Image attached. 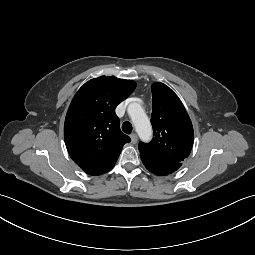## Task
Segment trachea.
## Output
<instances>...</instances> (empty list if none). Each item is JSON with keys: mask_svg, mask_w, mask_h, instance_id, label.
I'll use <instances>...</instances> for the list:
<instances>
[{"mask_svg": "<svg viewBox=\"0 0 255 255\" xmlns=\"http://www.w3.org/2000/svg\"><path fill=\"white\" fill-rule=\"evenodd\" d=\"M122 130L126 134H130L132 132V124L128 121L122 124Z\"/></svg>", "mask_w": 255, "mask_h": 255, "instance_id": "trachea-1", "label": "trachea"}]
</instances>
